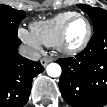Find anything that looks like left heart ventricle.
<instances>
[{
	"instance_id": "1",
	"label": "left heart ventricle",
	"mask_w": 107,
	"mask_h": 107,
	"mask_svg": "<svg viewBox=\"0 0 107 107\" xmlns=\"http://www.w3.org/2000/svg\"><path fill=\"white\" fill-rule=\"evenodd\" d=\"M86 23L82 19H75L68 30V43L71 46L79 44L86 34Z\"/></svg>"
}]
</instances>
